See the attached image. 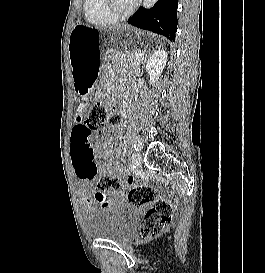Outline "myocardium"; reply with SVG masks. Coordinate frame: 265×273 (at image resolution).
<instances>
[{
  "mask_svg": "<svg viewBox=\"0 0 265 273\" xmlns=\"http://www.w3.org/2000/svg\"><path fill=\"white\" fill-rule=\"evenodd\" d=\"M140 0L134 1L130 7L124 11H117L113 6V0H102V7L104 12L113 20H121L130 16L137 8Z\"/></svg>",
  "mask_w": 265,
  "mask_h": 273,
  "instance_id": "f54148a6",
  "label": "myocardium"
}]
</instances>
